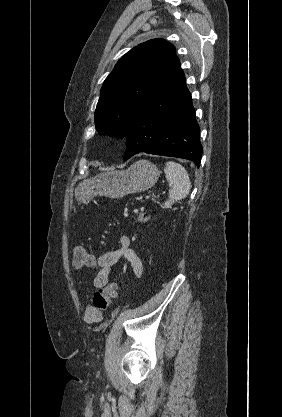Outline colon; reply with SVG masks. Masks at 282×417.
<instances>
[{"mask_svg":"<svg viewBox=\"0 0 282 417\" xmlns=\"http://www.w3.org/2000/svg\"><path fill=\"white\" fill-rule=\"evenodd\" d=\"M136 218L139 221H146L149 219L148 215L143 212H136ZM94 260L92 255L82 247L74 249L73 265L76 268H91ZM120 284L111 281L97 290L93 296V307L95 310L104 312L109 306L111 299L117 295Z\"/></svg>","mask_w":282,"mask_h":417,"instance_id":"obj_1","label":"colon"}]
</instances>
